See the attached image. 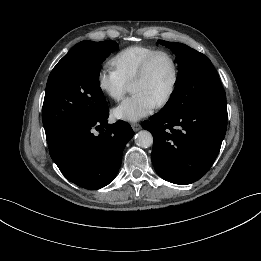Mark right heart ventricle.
Returning <instances> with one entry per match:
<instances>
[{
    "label": "right heart ventricle",
    "instance_id": "1",
    "mask_svg": "<svg viewBox=\"0 0 261 261\" xmlns=\"http://www.w3.org/2000/svg\"><path fill=\"white\" fill-rule=\"evenodd\" d=\"M158 49L145 45H133L117 52L109 64L127 84L131 83L145 59Z\"/></svg>",
    "mask_w": 261,
    "mask_h": 261
}]
</instances>
